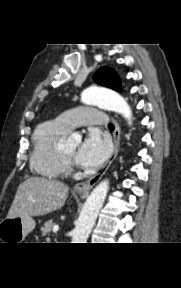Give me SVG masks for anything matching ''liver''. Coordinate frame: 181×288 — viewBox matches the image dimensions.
Returning <instances> with one entry per match:
<instances>
[{
	"label": "liver",
	"mask_w": 181,
	"mask_h": 288,
	"mask_svg": "<svg viewBox=\"0 0 181 288\" xmlns=\"http://www.w3.org/2000/svg\"><path fill=\"white\" fill-rule=\"evenodd\" d=\"M69 187L61 181L30 177L21 183L8 212V218L43 216L60 209Z\"/></svg>",
	"instance_id": "6515ba94"
}]
</instances>
